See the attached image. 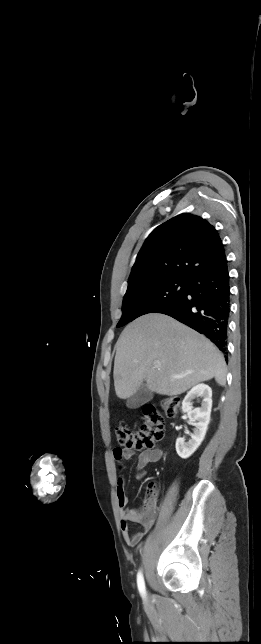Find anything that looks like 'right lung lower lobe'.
<instances>
[{
  "label": "right lung lower lobe",
  "instance_id": "right-lung-lower-lobe-1",
  "mask_svg": "<svg viewBox=\"0 0 261 644\" xmlns=\"http://www.w3.org/2000/svg\"><path fill=\"white\" fill-rule=\"evenodd\" d=\"M227 260L202 269L187 279L184 296L172 306L158 311L204 334L224 353L230 313V286Z\"/></svg>",
  "mask_w": 261,
  "mask_h": 644
}]
</instances>
